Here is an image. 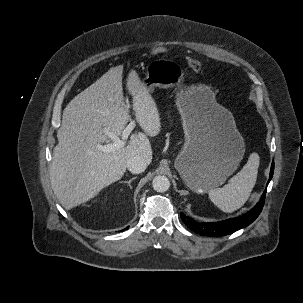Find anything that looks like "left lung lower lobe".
<instances>
[{"mask_svg": "<svg viewBox=\"0 0 303 303\" xmlns=\"http://www.w3.org/2000/svg\"><path fill=\"white\" fill-rule=\"evenodd\" d=\"M273 171L274 162H272L271 165L270 178L268 180V183L270 182L273 176ZM265 196L266 190L262 194V199L255 205V207H253L245 215L236 218H231L214 223H198L191 217L182 214L181 219L185 223V225L188 226L189 229L202 236L213 237L229 235L241 228L248 226L259 216L264 206Z\"/></svg>", "mask_w": 303, "mask_h": 303, "instance_id": "0a47b994", "label": "left lung lower lobe"}]
</instances>
